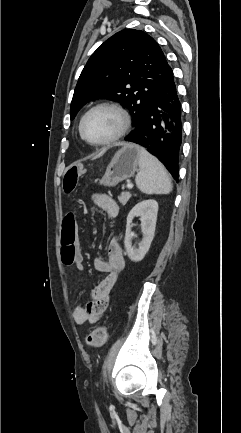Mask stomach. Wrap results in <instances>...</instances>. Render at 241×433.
Returning <instances> with one entry per match:
<instances>
[{"label": "stomach", "mask_w": 241, "mask_h": 433, "mask_svg": "<svg viewBox=\"0 0 241 433\" xmlns=\"http://www.w3.org/2000/svg\"><path fill=\"white\" fill-rule=\"evenodd\" d=\"M140 158V147L135 144H126L119 149L109 165L105 174L100 180V184L113 187L123 180L129 179L137 171Z\"/></svg>", "instance_id": "0dacf381"}]
</instances>
